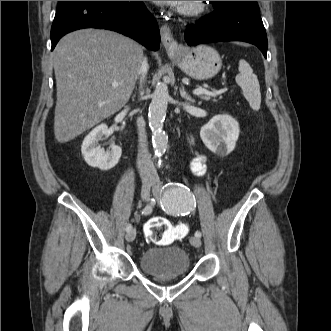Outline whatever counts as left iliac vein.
<instances>
[{
	"label": "left iliac vein",
	"mask_w": 331,
	"mask_h": 331,
	"mask_svg": "<svg viewBox=\"0 0 331 331\" xmlns=\"http://www.w3.org/2000/svg\"><path fill=\"white\" fill-rule=\"evenodd\" d=\"M153 191L159 192L161 190V182L157 179L153 182ZM190 243L192 246L199 248L201 246V239L197 236L190 237Z\"/></svg>",
	"instance_id": "1"
}]
</instances>
